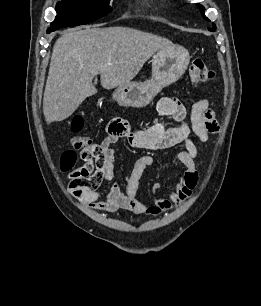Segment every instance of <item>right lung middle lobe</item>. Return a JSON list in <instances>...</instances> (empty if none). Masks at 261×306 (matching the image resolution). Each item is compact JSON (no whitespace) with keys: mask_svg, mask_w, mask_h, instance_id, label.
<instances>
[{"mask_svg":"<svg viewBox=\"0 0 261 306\" xmlns=\"http://www.w3.org/2000/svg\"><path fill=\"white\" fill-rule=\"evenodd\" d=\"M110 0H62L56 5V18L50 27L61 28L93 22L111 12Z\"/></svg>","mask_w":261,"mask_h":306,"instance_id":"right-lung-middle-lobe-1","label":"right lung middle lobe"}]
</instances>
